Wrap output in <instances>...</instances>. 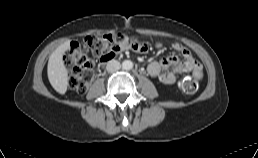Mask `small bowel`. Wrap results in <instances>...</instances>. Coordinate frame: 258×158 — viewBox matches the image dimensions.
<instances>
[{
  "label": "small bowel",
  "mask_w": 258,
  "mask_h": 158,
  "mask_svg": "<svg viewBox=\"0 0 258 158\" xmlns=\"http://www.w3.org/2000/svg\"><path fill=\"white\" fill-rule=\"evenodd\" d=\"M156 46L160 47L159 44ZM172 48L180 53L184 60L180 61L175 56H169L158 61H152L147 67L148 74L157 77L161 83L166 85L175 83L177 75L185 72H191L195 78L201 79L203 76L202 66L194 59L191 52L180 43H174ZM132 49L145 54L150 51L151 47L149 44L143 43Z\"/></svg>",
  "instance_id": "1"
}]
</instances>
